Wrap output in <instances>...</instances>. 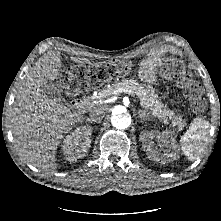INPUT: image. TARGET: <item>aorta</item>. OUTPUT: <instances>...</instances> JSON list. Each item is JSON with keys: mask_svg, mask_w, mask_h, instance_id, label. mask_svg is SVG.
Wrapping results in <instances>:
<instances>
[{"mask_svg": "<svg viewBox=\"0 0 221 221\" xmlns=\"http://www.w3.org/2000/svg\"><path fill=\"white\" fill-rule=\"evenodd\" d=\"M111 124L117 129H126L131 125V116L121 106L113 109Z\"/></svg>", "mask_w": 221, "mask_h": 221, "instance_id": "obj_1", "label": "aorta"}]
</instances>
